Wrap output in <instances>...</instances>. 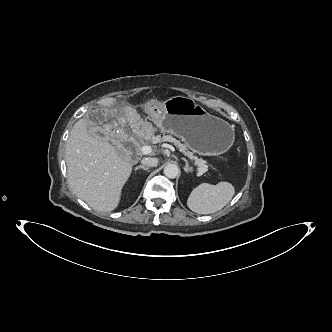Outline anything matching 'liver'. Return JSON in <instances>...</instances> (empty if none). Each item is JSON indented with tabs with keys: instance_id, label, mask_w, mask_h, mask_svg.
I'll list each match as a JSON object with an SVG mask.
<instances>
[{
	"instance_id": "6515ba94",
	"label": "liver",
	"mask_w": 332,
	"mask_h": 332,
	"mask_svg": "<svg viewBox=\"0 0 332 332\" xmlns=\"http://www.w3.org/2000/svg\"><path fill=\"white\" fill-rule=\"evenodd\" d=\"M91 122L81 119L73 126L66 143L67 179L74 194L100 212L117 208L132 164L108 142L88 131ZM108 131L112 129L107 124Z\"/></svg>"
}]
</instances>
